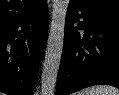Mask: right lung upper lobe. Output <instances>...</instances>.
<instances>
[{
    "mask_svg": "<svg viewBox=\"0 0 119 95\" xmlns=\"http://www.w3.org/2000/svg\"><path fill=\"white\" fill-rule=\"evenodd\" d=\"M45 0H0V26L34 11Z\"/></svg>",
    "mask_w": 119,
    "mask_h": 95,
    "instance_id": "right-lung-upper-lobe-1",
    "label": "right lung upper lobe"
}]
</instances>
